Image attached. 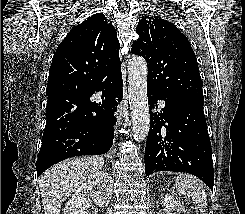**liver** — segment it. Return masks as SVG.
<instances>
[{"label": "liver", "mask_w": 245, "mask_h": 214, "mask_svg": "<svg viewBox=\"0 0 245 214\" xmlns=\"http://www.w3.org/2000/svg\"><path fill=\"white\" fill-rule=\"evenodd\" d=\"M103 166V157L87 156L63 161L45 171L39 179L45 214H60L64 200Z\"/></svg>", "instance_id": "liver-1"}]
</instances>
